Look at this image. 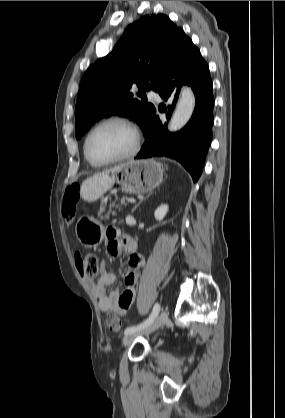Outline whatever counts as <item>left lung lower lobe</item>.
<instances>
[{
	"label": "left lung lower lobe",
	"mask_w": 285,
	"mask_h": 418,
	"mask_svg": "<svg viewBox=\"0 0 285 418\" xmlns=\"http://www.w3.org/2000/svg\"><path fill=\"white\" fill-rule=\"evenodd\" d=\"M182 84L192 87L196 103L187 125L177 133L167 131V123L155 115L145 135L137 159L166 156L179 161L197 181L202 173L205 156L212 140L214 97L209 67L192 40L184 36L166 68L158 93L172 102L166 112L169 119Z\"/></svg>",
	"instance_id": "0a47b994"
}]
</instances>
